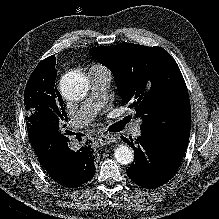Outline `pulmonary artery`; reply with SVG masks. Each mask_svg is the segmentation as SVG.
<instances>
[{"label":"pulmonary artery","mask_w":219,"mask_h":219,"mask_svg":"<svg viewBox=\"0 0 219 219\" xmlns=\"http://www.w3.org/2000/svg\"><path fill=\"white\" fill-rule=\"evenodd\" d=\"M91 82L89 98L82 104L74 115V127L79 128L87 124L95 115L96 110L104 103L111 81V72L102 66H93L88 71ZM134 136L141 135V121H134L130 126Z\"/></svg>","instance_id":"1"}]
</instances>
